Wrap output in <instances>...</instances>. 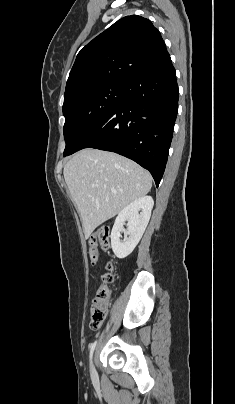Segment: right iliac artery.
<instances>
[{
	"instance_id": "right-iliac-artery-1",
	"label": "right iliac artery",
	"mask_w": 235,
	"mask_h": 404,
	"mask_svg": "<svg viewBox=\"0 0 235 404\" xmlns=\"http://www.w3.org/2000/svg\"><path fill=\"white\" fill-rule=\"evenodd\" d=\"M95 346H96V341H95L94 343H91V344L89 345V348H90L89 358H90V360H92V356H93V352H94Z\"/></svg>"
}]
</instances>
